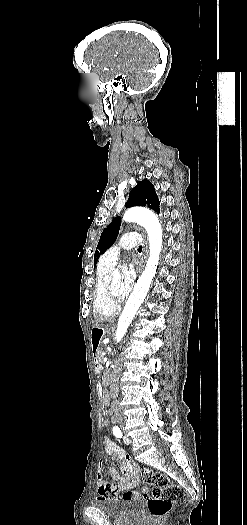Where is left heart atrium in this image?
Wrapping results in <instances>:
<instances>
[{
	"label": "left heart atrium",
	"mask_w": 247,
	"mask_h": 525,
	"mask_svg": "<svg viewBox=\"0 0 247 525\" xmlns=\"http://www.w3.org/2000/svg\"><path fill=\"white\" fill-rule=\"evenodd\" d=\"M130 259L134 264L138 265H144V267H147L148 264H140L139 263V254L132 253L130 255ZM123 274V280L118 288L117 296L119 299H123L127 294L130 292L134 278H135V270H122Z\"/></svg>",
	"instance_id": "left-heart-atrium-1"
}]
</instances>
